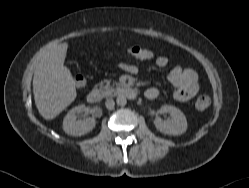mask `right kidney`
<instances>
[{
    "instance_id": "ca27d5eb",
    "label": "right kidney",
    "mask_w": 249,
    "mask_h": 188,
    "mask_svg": "<svg viewBox=\"0 0 249 188\" xmlns=\"http://www.w3.org/2000/svg\"><path fill=\"white\" fill-rule=\"evenodd\" d=\"M87 111L88 109L85 105H78L72 108L63 120V130L65 133L72 136H82L92 131L96 125L93 117H88L83 121L76 120L77 114Z\"/></svg>"
}]
</instances>
